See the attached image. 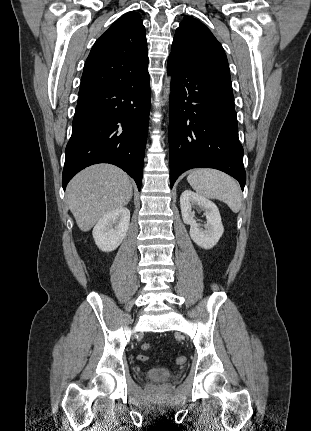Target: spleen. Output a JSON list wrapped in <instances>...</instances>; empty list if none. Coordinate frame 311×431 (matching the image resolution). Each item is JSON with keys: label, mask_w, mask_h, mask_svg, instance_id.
<instances>
[{"label": "spleen", "mask_w": 311, "mask_h": 431, "mask_svg": "<svg viewBox=\"0 0 311 431\" xmlns=\"http://www.w3.org/2000/svg\"><path fill=\"white\" fill-rule=\"evenodd\" d=\"M188 184L191 188L209 200H221L229 206L234 214H238L242 206L241 190L233 178L218 172V170H209V168H199L193 170L187 176Z\"/></svg>", "instance_id": "obj_1"}]
</instances>
